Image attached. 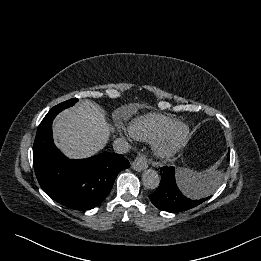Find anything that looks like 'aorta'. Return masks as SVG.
I'll list each match as a JSON object with an SVG mask.
<instances>
[{
  "instance_id": "1",
  "label": "aorta",
  "mask_w": 261,
  "mask_h": 261,
  "mask_svg": "<svg viewBox=\"0 0 261 261\" xmlns=\"http://www.w3.org/2000/svg\"><path fill=\"white\" fill-rule=\"evenodd\" d=\"M142 183L147 189H156L160 183L158 173L153 169H147L142 174Z\"/></svg>"
}]
</instances>
